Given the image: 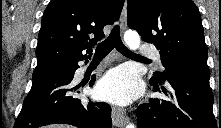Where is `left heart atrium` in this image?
Wrapping results in <instances>:
<instances>
[{"label":"left heart atrium","instance_id":"obj_1","mask_svg":"<svg viewBox=\"0 0 221 128\" xmlns=\"http://www.w3.org/2000/svg\"><path fill=\"white\" fill-rule=\"evenodd\" d=\"M138 77L130 70L118 67L107 73L98 83L95 92L103 100L127 105L136 97L139 90Z\"/></svg>","mask_w":221,"mask_h":128}]
</instances>
